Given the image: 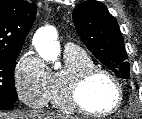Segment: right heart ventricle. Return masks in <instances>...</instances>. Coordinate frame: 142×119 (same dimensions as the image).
<instances>
[{
  "mask_svg": "<svg viewBox=\"0 0 142 119\" xmlns=\"http://www.w3.org/2000/svg\"><path fill=\"white\" fill-rule=\"evenodd\" d=\"M65 69L62 72L51 73V86L49 100L51 104L60 110L67 111L62 101L61 88L63 78L68 74H73L81 69L94 66L90 56L82 49H75L64 52Z\"/></svg>",
  "mask_w": 142,
  "mask_h": 119,
  "instance_id": "obj_1",
  "label": "right heart ventricle"
}]
</instances>
